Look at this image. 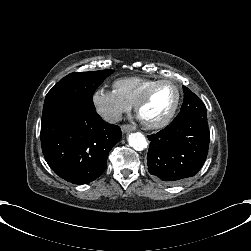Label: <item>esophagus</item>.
Listing matches in <instances>:
<instances>
[{
    "instance_id": "34e87169",
    "label": "esophagus",
    "mask_w": 251,
    "mask_h": 251,
    "mask_svg": "<svg viewBox=\"0 0 251 251\" xmlns=\"http://www.w3.org/2000/svg\"><path fill=\"white\" fill-rule=\"evenodd\" d=\"M134 129H135V127L131 124L121 125V130L123 133H129V132L133 131Z\"/></svg>"
}]
</instances>
